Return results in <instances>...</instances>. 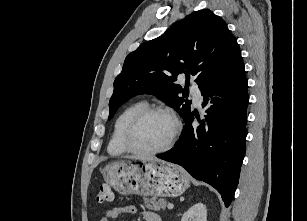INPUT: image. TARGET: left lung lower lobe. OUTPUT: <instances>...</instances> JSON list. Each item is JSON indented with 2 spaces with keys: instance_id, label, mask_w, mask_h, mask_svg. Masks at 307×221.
I'll return each instance as SVG.
<instances>
[{
  "instance_id": "obj_1",
  "label": "left lung lower lobe",
  "mask_w": 307,
  "mask_h": 221,
  "mask_svg": "<svg viewBox=\"0 0 307 221\" xmlns=\"http://www.w3.org/2000/svg\"><path fill=\"white\" fill-rule=\"evenodd\" d=\"M202 96V106L209 107L205 120L194 129L191 113L175 147L157 157L213 186L228 207L238 185L247 135L248 92L241 52Z\"/></svg>"
}]
</instances>
